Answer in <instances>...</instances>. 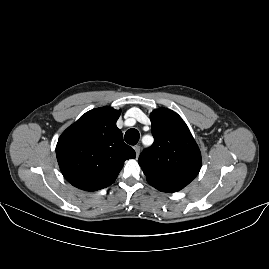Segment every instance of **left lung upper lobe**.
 <instances>
[{"label": "left lung upper lobe", "instance_id": "5c2ea615", "mask_svg": "<svg viewBox=\"0 0 269 269\" xmlns=\"http://www.w3.org/2000/svg\"><path fill=\"white\" fill-rule=\"evenodd\" d=\"M154 143L138 159L150 184L185 187L199 173L201 153L188 127L172 110L150 114Z\"/></svg>", "mask_w": 269, "mask_h": 269}]
</instances>
